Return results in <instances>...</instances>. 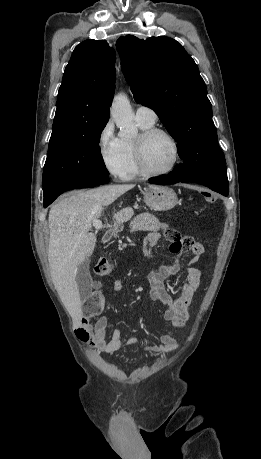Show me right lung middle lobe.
<instances>
[{
	"label": "right lung middle lobe",
	"instance_id": "right-lung-middle-lobe-1",
	"mask_svg": "<svg viewBox=\"0 0 261 459\" xmlns=\"http://www.w3.org/2000/svg\"><path fill=\"white\" fill-rule=\"evenodd\" d=\"M106 123L50 138L43 169L44 198L72 183L109 176L98 147Z\"/></svg>",
	"mask_w": 261,
	"mask_h": 459
}]
</instances>
